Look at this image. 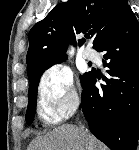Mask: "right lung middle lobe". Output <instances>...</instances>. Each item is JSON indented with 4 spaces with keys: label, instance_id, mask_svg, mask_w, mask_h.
<instances>
[{
    "label": "right lung middle lobe",
    "instance_id": "right-lung-middle-lobe-1",
    "mask_svg": "<svg viewBox=\"0 0 139 150\" xmlns=\"http://www.w3.org/2000/svg\"><path fill=\"white\" fill-rule=\"evenodd\" d=\"M65 59L66 58H62V59L56 60V61L46 65L45 67L41 68L33 77H31L29 79V81H30L29 93H28L29 103H28V108H27V112H26V122L28 125H30L32 123V121L34 120L35 109H36L37 87H38V83H39L42 73L46 69L51 67L52 65H54L56 63H60V62L64 61ZM90 73L91 72H88V73H85L84 76H81L80 77L81 82L83 80H85L89 76Z\"/></svg>",
    "mask_w": 139,
    "mask_h": 150
}]
</instances>
